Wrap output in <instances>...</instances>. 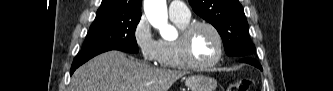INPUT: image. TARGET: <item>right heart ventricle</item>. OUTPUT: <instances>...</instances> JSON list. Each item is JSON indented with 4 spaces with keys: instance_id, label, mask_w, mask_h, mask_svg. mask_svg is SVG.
I'll return each instance as SVG.
<instances>
[{
    "instance_id": "obj_1",
    "label": "right heart ventricle",
    "mask_w": 333,
    "mask_h": 91,
    "mask_svg": "<svg viewBox=\"0 0 333 91\" xmlns=\"http://www.w3.org/2000/svg\"><path fill=\"white\" fill-rule=\"evenodd\" d=\"M175 25L183 30L189 23V18L171 17ZM157 63L160 67L171 69H187L180 54V46L178 39L175 40H159V54Z\"/></svg>"
}]
</instances>
